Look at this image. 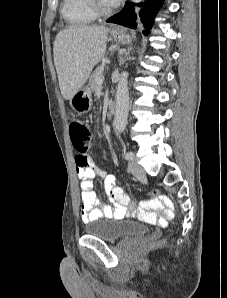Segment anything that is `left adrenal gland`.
Returning <instances> with one entry per match:
<instances>
[{"label":"left adrenal gland","mask_w":227,"mask_h":298,"mask_svg":"<svg viewBox=\"0 0 227 298\" xmlns=\"http://www.w3.org/2000/svg\"><path fill=\"white\" fill-rule=\"evenodd\" d=\"M131 49H128V51L125 53V55H129Z\"/></svg>","instance_id":"obj_1"}]
</instances>
